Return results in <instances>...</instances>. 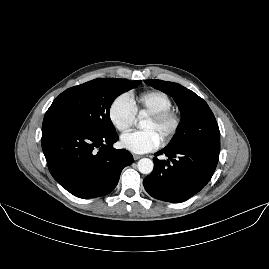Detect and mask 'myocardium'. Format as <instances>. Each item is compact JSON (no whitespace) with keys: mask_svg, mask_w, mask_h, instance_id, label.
<instances>
[{"mask_svg":"<svg viewBox=\"0 0 269 269\" xmlns=\"http://www.w3.org/2000/svg\"><path fill=\"white\" fill-rule=\"evenodd\" d=\"M150 116L157 118L162 122H168L171 124L170 132L166 140L162 143L163 146H168L177 138L182 127V116L181 114L173 109L160 110L150 113Z\"/></svg>","mask_w":269,"mask_h":269,"instance_id":"myocardium-1","label":"myocardium"}]
</instances>
